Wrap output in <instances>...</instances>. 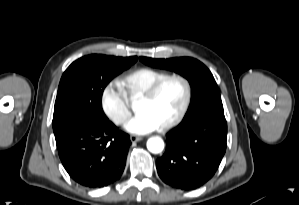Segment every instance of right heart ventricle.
<instances>
[{"label": "right heart ventricle", "instance_id": "right-heart-ventricle-1", "mask_svg": "<svg viewBox=\"0 0 299 205\" xmlns=\"http://www.w3.org/2000/svg\"><path fill=\"white\" fill-rule=\"evenodd\" d=\"M168 75L167 72L141 67L129 71L117 80V84L128 99H137L151 85Z\"/></svg>", "mask_w": 299, "mask_h": 205}]
</instances>
